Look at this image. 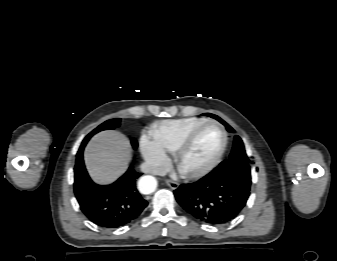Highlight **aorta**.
<instances>
[{
  "mask_svg": "<svg viewBox=\"0 0 337 261\" xmlns=\"http://www.w3.org/2000/svg\"><path fill=\"white\" fill-rule=\"evenodd\" d=\"M157 181L152 176H143L138 182L139 191L142 194H151L156 190Z\"/></svg>",
  "mask_w": 337,
  "mask_h": 261,
  "instance_id": "obj_1",
  "label": "aorta"
}]
</instances>
